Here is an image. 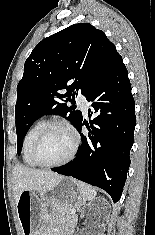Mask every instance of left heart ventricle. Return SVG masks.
<instances>
[{
  "instance_id": "left-heart-ventricle-1",
  "label": "left heart ventricle",
  "mask_w": 155,
  "mask_h": 235,
  "mask_svg": "<svg viewBox=\"0 0 155 235\" xmlns=\"http://www.w3.org/2000/svg\"><path fill=\"white\" fill-rule=\"evenodd\" d=\"M72 148V138L63 129L51 130L38 148V157L42 162L55 163L68 156Z\"/></svg>"
}]
</instances>
